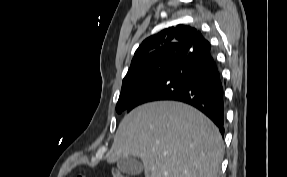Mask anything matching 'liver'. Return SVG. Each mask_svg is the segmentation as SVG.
Instances as JSON below:
<instances>
[{
    "label": "liver",
    "instance_id": "liver-1",
    "mask_svg": "<svg viewBox=\"0 0 287 177\" xmlns=\"http://www.w3.org/2000/svg\"><path fill=\"white\" fill-rule=\"evenodd\" d=\"M130 155L141 158L145 177H217L223 142L218 128L195 108L158 101L121 121L108 162Z\"/></svg>",
    "mask_w": 287,
    "mask_h": 177
}]
</instances>
